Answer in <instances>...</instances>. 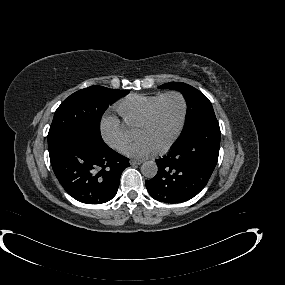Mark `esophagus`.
Returning a JSON list of instances; mask_svg holds the SVG:
<instances>
[{
  "instance_id": "1",
  "label": "esophagus",
  "mask_w": 285,
  "mask_h": 285,
  "mask_svg": "<svg viewBox=\"0 0 285 285\" xmlns=\"http://www.w3.org/2000/svg\"><path fill=\"white\" fill-rule=\"evenodd\" d=\"M143 161L142 160H134V159H131L130 160V164L132 166H135V165H140Z\"/></svg>"
}]
</instances>
